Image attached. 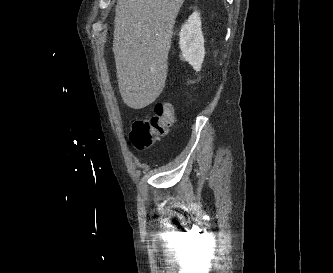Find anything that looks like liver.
I'll list each match as a JSON object with an SVG mask.
<instances>
[{
	"label": "liver",
	"instance_id": "6515ba94",
	"mask_svg": "<svg viewBox=\"0 0 333 273\" xmlns=\"http://www.w3.org/2000/svg\"><path fill=\"white\" fill-rule=\"evenodd\" d=\"M184 1H118L113 52L119 91L130 108H145L162 93L173 28Z\"/></svg>",
	"mask_w": 333,
	"mask_h": 273
}]
</instances>
